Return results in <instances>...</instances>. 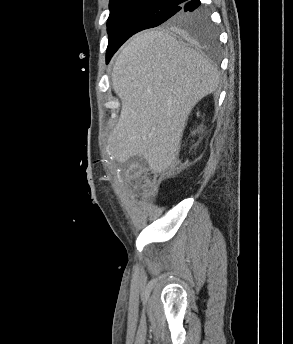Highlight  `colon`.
I'll use <instances>...</instances> for the list:
<instances>
[{
    "mask_svg": "<svg viewBox=\"0 0 293 344\" xmlns=\"http://www.w3.org/2000/svg\"><path fill=\"white\" fill-rule=\"evenodd\" d=\"M141 193L144 196H150L153 193V186L149 180L141 185Z\"/></svg>",
    "mask_w": 293,
    "mask_h": 344,
    "instance_id": "1",
    "label": "colon"
}]
</instances>
